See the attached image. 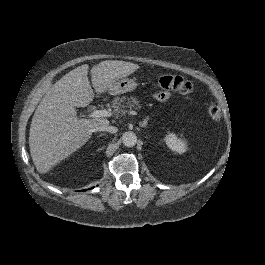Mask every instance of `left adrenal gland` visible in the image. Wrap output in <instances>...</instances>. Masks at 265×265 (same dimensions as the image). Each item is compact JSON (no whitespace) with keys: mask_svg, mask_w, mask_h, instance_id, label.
<instances>
[{"mask_svg":"<svg viewBox=\"0 0 265 265\" xmlns=\"http://www.w3.org/2000/svg\"><path fill=\"white\" fill-rule=\"evenodd\" d=\"M148 119H149V117L146 116V117L143 119L142 122H139V125H140V126H144V127H146V126H147V121H148Z\"/></svg>","mask_w":265,"mask_h":265,"instance_id":"a2214340","label":"left adrenal gland"}]
</instances>
